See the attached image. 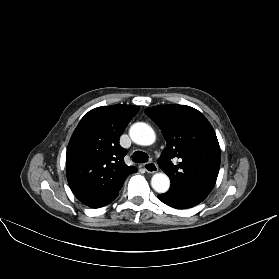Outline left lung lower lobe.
<instances>
[{"instance_id":"0a47b994","label":"left lung lower lobe","mask_w":279,"mask_h":279,"mask_svg":"<svg viewBox=\"0 0 279 279\" xmlns=\"http://www.w3.org/2000/svg\"><path fill=\"white\" fill-rule=\"evenodd\" d=\"M158 198L176 209L191 208L204 200L199 196L171 188L166 193L158 195Z\"/></svg>"}]
</instances>
